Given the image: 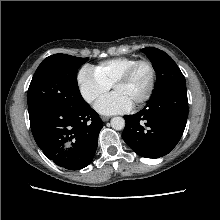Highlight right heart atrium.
Segmentation results:
<instances>
[{
    "mask_svg": "<svg viewBox=\"0 0 220 220\" xmlns=\"http://www.w3.org/2000/svg\"><path fill=\"white\" fill-rule=\"evenodd\" d=\"M77 83L81 97L88 104H94L110 90V87L100 80L94 73L93 68L89 66H85L80 70Z\"/></svg>",
    "mask_w": 220,
    "mask_h": 220,
    "instance_id": "1",
    "label": "right heart atrium"
}]
</instances>
